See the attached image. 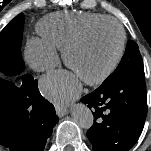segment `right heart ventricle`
I'll list each match as a JSON object with an SVG mask.
<instances>
[{
	"mask_svg": "<svg viewBox=\"0 0 151 151\" xmlns=\"http://www.w3.org/2000/svg\"><path fill=\"white\" fill-rule=\"evenodd\" d=\"M108 17L92 12H58L45 16L37 24L42 39L54 48L64 45L89 24Z\"/></svg>",
	"mask_w": 151,
	"mask_h": 151,
	"instance_id": "obj_1",
	"label": "right heart ventricle"
}]
</instances>
